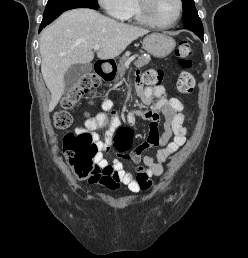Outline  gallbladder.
Listing matches in <instances>:
<instances>
[{
    "mask_svg": "<svg viewBox=\"0 0 248 258\" xmlns=\"http://www.w3.org/2000/svg\"><path fill=\"white\" fill-rule=\"evenodd\" d=\"M92 71V64H73L69 67V69L64 74V82H65V93H68L80 79L89 74Z\"/></svg>",
    "mask_w": 248,
    "mask_h": 258,
    "instance_id": "obj_1",
    "label": "gallbladder"
}]
</instances>
